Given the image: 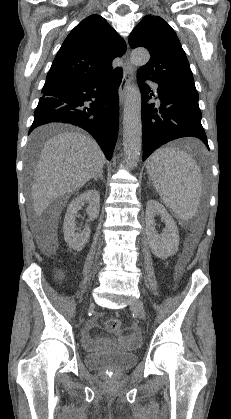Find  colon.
Instances as JSON below:
<instances>
[{
  "instance_id": "obj_1",
  "label": "colon",
  "mask_w": 231,
  "mask_h": 419,
  "mask_svg": "<svg viewBox=\"0 0 231 419\" xmlns=\"http://www.w3.org/2000/svg\"><path fill=\"white\" fill-rule=\"evenodd\" d=\"M105 325H106L107 331L114 335H119L123 332L122 323L117 318H109L106 321Z\"/></svg>"
}]
</instances>
